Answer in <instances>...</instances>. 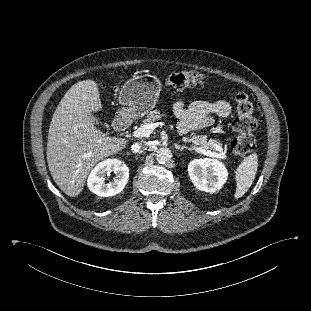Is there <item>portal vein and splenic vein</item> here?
<instances>
[{
  "mask_svg": "<svg viewBox=\"0 0 311 311\" xmlns=\"http://www.w3.org/2000/svg\"><path fill=\"white\" fill-rule=\"evenodd\" d=\"M163 125V122H156V123H148V124H145L141 127H139L137 130H135L133 132V136L136 137V138H142V137H149L150 134L159 126H162ZM192 148L197 151L198 153H201V154H204V155H207V156H210V157H216V158H219V159H225L226 156L224 153H215V152H212V151H209V150H205V149H202L200 147H195V146H192Z\"/></svg>",
  "mask_w": 311,
  "mask_h": 311,
  "instance_id": "portal-vein-and-splenic-vein-1",
  "label": "portal vein and splenic vein"
}]
</instances>
